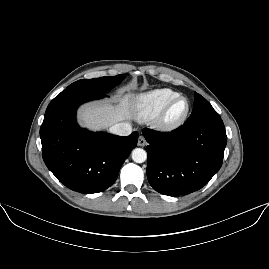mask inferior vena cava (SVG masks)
<instances>
[{"label": "inferior vena cava", "instance_id": "1", "mask_svg": "<svg viewBox=\"0 0 269 269\" xmlns=\"http://www.w3.org/2000/svg\"><path fill=\"white\" fill-rule=\"evenodd\" d=\"M110 130L119 136H128L132 133V128L127 123H116L111 126Z\"/></svg>", "mask_w": 269, "mask_h": 269}]
</instances>
